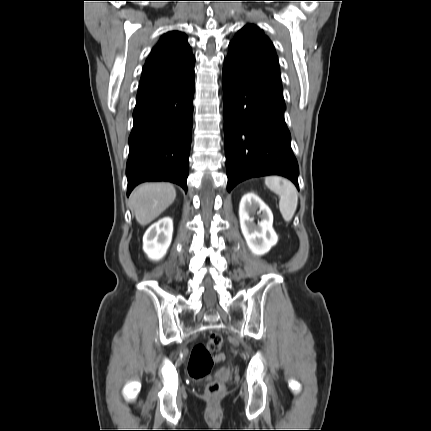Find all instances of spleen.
<instances>
[{"label":"spleen","instance_id":"spleen-1","mask_svg":"<svg viewBox=\"0 0 431 431\" xmlns=\"http://www.w3.org/2000/svg\"><path fill=\"white\" fill-rule=\"evenodd\" d=\"M265 185L280 197L279 209L282 217L286 222H290L298 204V193L293 183L278 176H269L265 178Z\"/></svg>","mask_w":431,"mask_h":431}]
</instances>
